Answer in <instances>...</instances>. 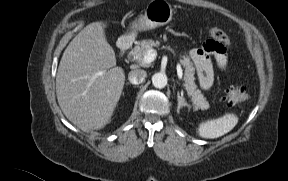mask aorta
Wrapping results in <instances>:
<instances>
[{"mask_svg": "<svg viewBox=\"0 0 288 181\" xmlns=\"http://www.w3.org/2000/svg\"><path fill=\"white\" fill-rule=\"evenodd\" d=\"M168 78L164 73H155L152 76V84L155 88L162 89L167 85Z\"/></svg>", "mask_w": 288, "mask_h": 181, "instance_id": "aorta-1", "label": "aorta"}]
</instances>
